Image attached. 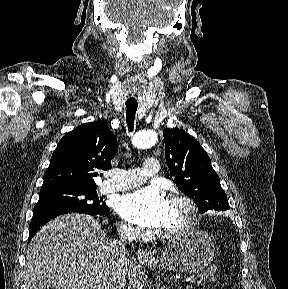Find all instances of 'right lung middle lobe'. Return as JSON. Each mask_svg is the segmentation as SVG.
<instances>
[{
	"label": "right lung middle lobe",
	"mask_w": 288,
	"mask_h": 289,
	"mask_svg": "<svg viewBox=\"0 0 288 289\" xmlns=\"http://www.w3.org/2000/svg\"><path fill=\"white\" fill-rule=\"evenodd\" d=\"M96 187H51L42 188L34 212L42 210H69L93 214L107 206L97 198Z\"/></svg>",
	"instance_id": "1"
}]
</instances>
